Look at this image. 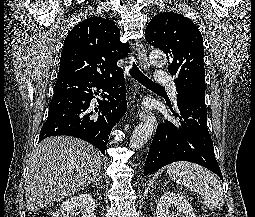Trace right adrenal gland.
Wrapping results in <instances>:
<instances>
[{
	"mask_svg": "<svg viewBox=\"0 0 255 217\" xmlns=\"http://www.w3.org/2000/svg\"><path fill=\"white\" fill-rule=\"evenodd\" d=\"M95 181H99V178H98V179H95L94 182H95Z\"/></svg>",
	"mask_w": 255,
	"mask_h": 217,
	"instance_id": "2a0ac1e0",
	"label": "right adrenal gland"
}]
</instances>
